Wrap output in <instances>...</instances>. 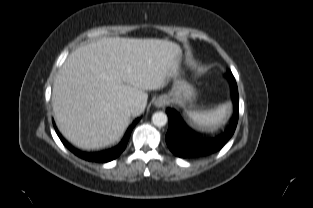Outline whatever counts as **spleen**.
Wrapping results in <instances>:
<instances>
[{"mask_svg": "<svg viewBox=\"0 0 313 208\" xmlns=\"http://www.w3.org/2000/svg\"><path fill=\"white\" fill-rule=\"evenodd\" d=\"M230 110L231 104L225 103L210 111L194 113L191 115V118L194 123L198 124L199 126L216 128L225 122V119L230 114Z\"/></svg>", "mask_w": 313, "mask_h": 208, "instance_id": "3e777b00", "label": "spleen"}]
</instances>
